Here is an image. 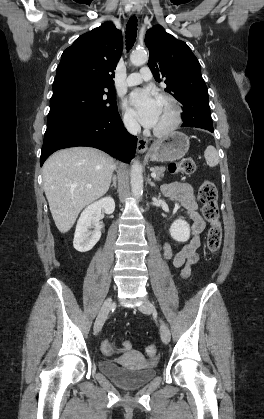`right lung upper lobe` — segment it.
Wrapping results in <instances>:
<instances>
[{"instance_id":"1","label":"right lung upper lobe","mask_w":264,"mask_h":419,"mask_svg":"<svg viewBox=\"0 0 264 419\" xmlns=\"http://www.w3.org/2000/svg\"><path fill=\"white\" fill-rule=\"evenodd\" d=\"M122 48L121 31L109 22L81 35L63 52L53 91L73 85L114 89V70Z\"/></svg>"}]
</instances>
